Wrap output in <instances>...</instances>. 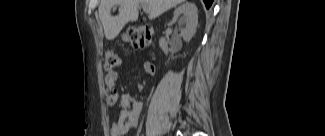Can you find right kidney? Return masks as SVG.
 <instances>
[{"label":"right kidney","mask_w":325,"mask_h":136,"mask_svg":"<svg viewBox=\"0 0 325 136\" xmlns=\"http://www.w3.org/2000/svg\"><path fill=\"white\" fill-rule=\"evenodd\" d=\"M180 15H183L179 20L181 26V36L186 42H189L194 36L198 24L197 7L194 3L186 2L175 9L173 13V21H176ZM185 25L184 28L182 26ZM159 46L167 55L169 52L168 43L164 37L159 41Z\"/></svg>","instance_id":"ca27d5eb"}]
</instances>
